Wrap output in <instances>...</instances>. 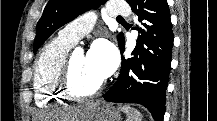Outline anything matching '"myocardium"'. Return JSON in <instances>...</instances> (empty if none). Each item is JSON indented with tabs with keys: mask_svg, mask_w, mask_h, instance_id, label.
I'll use <instances>...</instances> for the list:
<instances>
[{
	"mask_svg": "<svg viewBox=\"0 0 217 121\" xmlns=\"http://www.w3.org/2000/svg\"><path fill=\"white\" fill-rule=\"evenodd\" d=\"M72 61L73 56L66 58L58 77V87L61 95L76 101H87L99 95L104 89V80H102L95 89L89 92H80L75 89L72 83Z\"/></svg>",
	"mask_w": 217,
	"mask_h": 121,
	"instance_id": "myocardium-1",
	"label": "myocardium"
}]
</instances>
